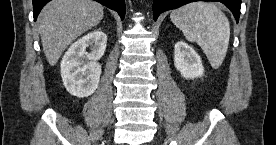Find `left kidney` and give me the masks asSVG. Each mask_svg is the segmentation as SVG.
Masks as SVG:
<instances>
[{
    "label": "left kidney",
    "mask_w": 276,
    "mask_h": 145,
    "mask_svg": "<svg viewBox=\"0 0 276 145\" xmlns=\"http://www.w3.org/2000/svg\"><path fill=\"white\" fill-rule=\"evenodd\" d=\"M174 64L186 79L200 77L204 73L200 56L184 41H178L174 49Z\"/></svg>",
    "instance_id": "1"
}]
</instances>
